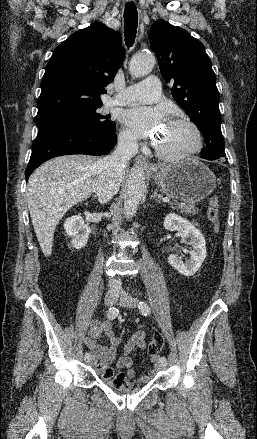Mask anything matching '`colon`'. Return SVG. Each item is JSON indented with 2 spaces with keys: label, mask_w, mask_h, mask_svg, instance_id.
Masks as SVG:
<instances>
[{
  "label": "colon",
  "mask_w": 257,
  "mask_h": 439,
  "mask_svg": "<svg viewBox=\"0 0 257 439\" xmlns=\"http://www.w3.org/2000/svg\"><path fill=\"white\" fill-rule=\"evenodd\" d=\"M218 217L219 198L217 195H212L208 201L207 219L214 231L217 230ZM164 343L163 335L159 332L155 333L149 342L148 354L150 356H156L163 349ZM98 371L101 377L115 389L133 391L137 387V384L134 381H130L124 373H115L111 367H106Z\"/></svg>",
  "instance_id": "colon-1"
}]
</instances>
